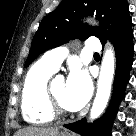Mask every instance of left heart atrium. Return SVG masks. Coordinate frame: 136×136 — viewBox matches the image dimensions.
<instances>
[{
  "label": "left heart atrium",
  "instance_id": "left-heart-atrium-1",
  "mask_svg": "<svg viewBox=\"0 0 136 136\" xmlns=\"http://www.w3.org/2000/svg\"><path fill=\"white\" fill-rule=\"evenodd\" d=\"M92 82L86 70L74 68L66 81L64 102L68 109L79 110L89 100Z\"/></svg>",
  "mask_w": 136,
  "mask_h": 136
}]
</instances>
